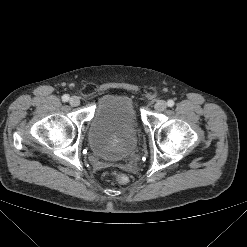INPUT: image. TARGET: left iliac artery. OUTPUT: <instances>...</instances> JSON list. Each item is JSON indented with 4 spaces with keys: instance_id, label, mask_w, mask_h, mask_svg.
<instances>
[{
    "instance_id": "left-iliac-artery-1",
    "label": "left iliac artery",
    "mask_w": 247,
    "mask_h": 247,
    "mask_svg": "<svg viewBox=\"0 0 247 247\" xmlns=\"http://www.w3.org/2000/svg\"><path fill=\"white\" fill-rule=\"evenodd\" d=\"M167 105H168L169 107L174 106V101H173V100H168V101H167Z\"/></svg>"
}]
</instances>
